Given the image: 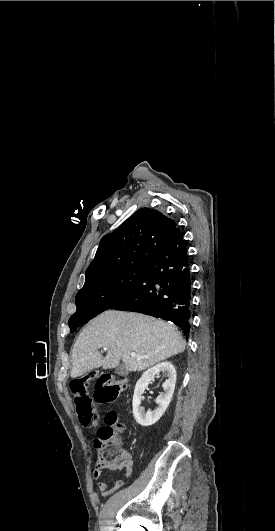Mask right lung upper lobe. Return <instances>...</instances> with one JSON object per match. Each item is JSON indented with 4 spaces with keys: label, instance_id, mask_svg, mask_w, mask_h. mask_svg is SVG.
Masks as SVG:
<instances>
[{
    "label": "right lung upper lobe",
    "instance_id": "right-lung-upper-lobe-1",
    "mask_svg": "<svg viewBox=\"0 0 275 531\" xmlns=\"http://www.w3.org/2000/svg\"><path fill=\"white\" fill-rule=\"evenodd\" d=\"M176 229V223L161 212L139 209L101 239L95 258L86 270L85 283L118 269L147 265Z\"/></svg>",
    "mask_w": 275,
    "mask_h": 531
}]
</instances>
